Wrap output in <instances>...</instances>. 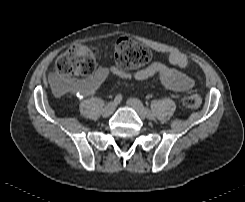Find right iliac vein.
<instances>
[{
	"label": "right iliac vein",
	"mask_w": 245,
	"mask_h": 202,
	"mask_svg": "<svg viewBox=\"0 0 245 202\" xmlns=\"http://www.w3.org/2000/svg\"><path fill=\"white\" fill-rule=\"evenodd\" d=\"M116 103L115 102H109L103 109H102V116L103 117H109L115 110L116 108Z\"/></svg>",
	"instance_id": "1"
}]
</instances>
